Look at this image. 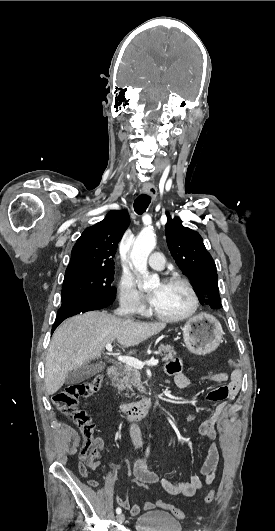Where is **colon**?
I'll return each instance as SVG.
<instances>
[{"mask_svg":"<svg viewBox=\"0 0 275 531\" xmlns=\"http://www.w3.org/2000/svg\"><path fill=\"white\" fill-rule=\"evenodd\" d=\"M229 364L232 367H237L239 362L234 359H229ZM103 382L101 375H95L89 379L81 380L70 384L65 389L58 391L54 398L53 403L55 407L64 415L69 417L77 425L83 441L79 451V471L83 476H87V466L89 464L94 466L97 464V454L99 449L97 448V442L95 441V427L91 421V416L87 411L78 407V400L82 397L92 395L100 389ZM90 486L95 487L96 481L90 480ZM143 491L148 489L146 484L142 485ZM216 498L215 490L211 489L204 497V503L206 505L211 504ZM159 509L166 511L176 518H182L184 513L176 508L173 504L164 501H158Z\"/></svg>","mask_w":275,"mask_h":531,"instance_id":"colon-1","label":"colon"}]
</instances>
